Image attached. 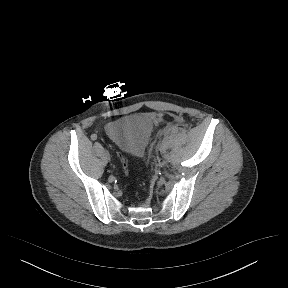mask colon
Wrapping results in <instances>:
<instances>
[{
  "instance_id": "obj_1",
  "label": "colon",
  "mask_w": 288,
  "mask_h": 288,
  "mask_svg": "<svg viewBox=\"0 0 288 288\" xmlns=\"http://www.w3.org/2000/svg\"><path fill=\"white\" fill-rule=\"evenodd\" d=\"M119 157L121 159V163H122V167H123L124 171L127 172L128 171V163H127V159H126L124 153L120 152Z\"/></svg>"
}]
</instances>
